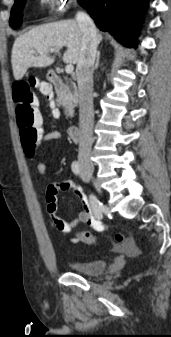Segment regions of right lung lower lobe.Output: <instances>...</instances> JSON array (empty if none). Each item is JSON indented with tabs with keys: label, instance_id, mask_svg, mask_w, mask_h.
<instances>
[{
	"label": "right lung lower lobe",
	"instance_id": "right-lung-lower-lobe-1",
	"mask_svg": "<svg viewBox=\"0 0 171 337\" xmlns=\"http://www.w3.org/2000/svg\"><path fill=\"white\" fill-rule=\"evenodd\" d=\"M96 25L128 47H136V37L149 0H78Z\"/></svg>",
	"mask_w": 171,
	"mask_h": 337
}]
</instances>
